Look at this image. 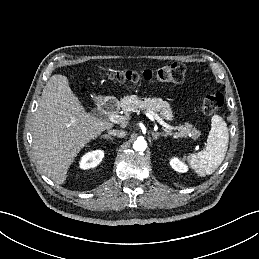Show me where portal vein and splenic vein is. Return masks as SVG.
Here are the masks:
<instances>
[{
  "mask_svg": "<svg viewBox=\"0 0 259 259\" xmlns=\"http://www.w3.org/2000/svg\"><path fill=\"white\" fill-rule=\"evenodd\" d=\"M145 115L150 118V119H154L156 120L160 125H162L166 130H177L176 127H173L169 124H167L166 122H164L162 120V118L159 117L158 114L152 112V111H145ZM108 119L111 121V122H114V123H117V124H120V123H125L127 118L123 117V116H120V115H117V114H114V113H110L108 114Z\"/></svg>",
  "mask_w": 259,
  "mask_h": 259,
  "instance_id": "18ae733b",
  "label": "portal vein and splenic vein"
}]
</instances>
